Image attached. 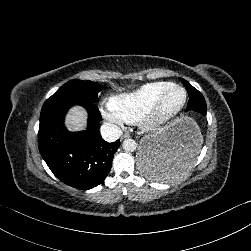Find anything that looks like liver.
Returning a JSON list of instances; mask_svg holds the SVG:
<instances>
[{"mask_svg": "<svg viewBox=\"0 0 251 251\" xmlns=\"http://www.w3.org/2000/svg\"><path fill=\"white\" fill-rule=\"evenodd\" d=\"M86 120L87 112L83 108L75 106L68 112L65 124L71 131H80L86 127Z\"/></svg>", "mask_w": 251, "mask_h": 251, "instance_id": "liver-1", "label": "liver"}]
</instances>
